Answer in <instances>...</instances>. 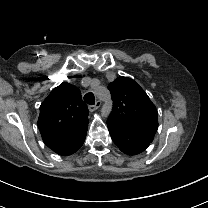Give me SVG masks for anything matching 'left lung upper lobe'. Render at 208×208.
<instances>
[{"label": "left lung upper lobe", "instance_id": "obj_1", "mask_svg": "<svg viewBox=\"0 0 208 208\" xmlns=\"http://www.w3.org/2000/svg\"><path fill=\"white\" fill-rule=\"evenodd\" d=\"M108 89L114 105L107 121L134 128L151 143L158 129V117L146 92L133 79L122 76Z\"/></svg>", "mask_w": 208, "mask_h": 208}]
</instances>
